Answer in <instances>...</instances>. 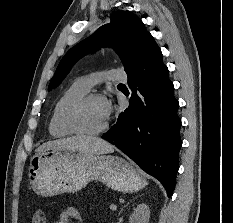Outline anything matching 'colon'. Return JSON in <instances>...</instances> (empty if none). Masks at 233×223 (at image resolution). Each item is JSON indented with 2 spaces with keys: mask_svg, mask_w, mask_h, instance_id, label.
I'll list each match as a JSON object with an SVG mask.
<instances>
[{
  "mask_svg": "<svg viewBox=\"0 0 233 223\" xmlns=\"http://www.w3.org/2000/svg\"><path fill=\"white\" fill-rule=\"evenodd\" d=\"M32 223H45L44 216L41 214H35Z\"/></svg>",
  "mask_w": 233,
  "mask_h": 223,
  "instance_id": "colon-1",
  "label": "colon"
}]
</instances>
